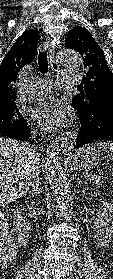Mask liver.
Returning <instances> with one entry per match:
<instances>
[{"label":"liver","mask_w":113,"mask_h":279,"mask_svg":"<svg viewBox=\"0 0 113 279\" xmlns=\"http://www.w3.org/2000/svg\"><path fill=\"white\" fill-rule=\"evenodd\" d=\"M39 154L26 143L0 138V205L26 195L38 172Z\"/></svg>","instance_id":"1"}]
</instances>
